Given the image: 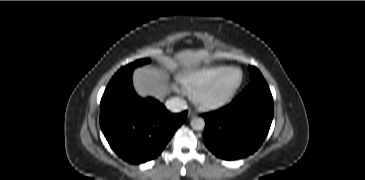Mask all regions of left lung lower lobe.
I'll return each mask as SVG.
<instances>
[{
	"label": "left lung lower lobe",
	"instance_id": "0a47b994",
	"mask_svg": "<svg viewBox=\"0 0 365 180\" xmlns=\"http://www.w3.org/2000/svg\"><path fill=\"white\" fill-rule=\"evenodd\" d=\"M272 119L273 98L266 81H253L230 105L204 114V143L219 158L246 157L260 147Z\"/></svg>",
	"mask_w": 365,
	"mask_h": 180
}]
</instances>
